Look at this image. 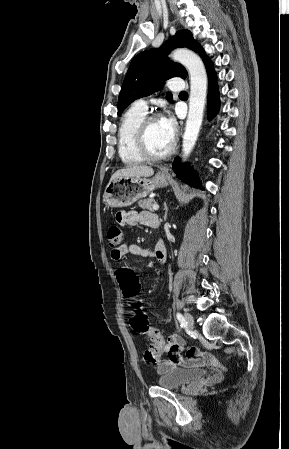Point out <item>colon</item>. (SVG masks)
Instances as JSON below:
<instances>
[{
  "label": "colon",
  "instance_id": "colon-1",
  "mask_svg": "<svg viewBox=\"0 0 289 449\" xmlns=\"http://www.w3.org/2000/svg\"><path fill=\"white\" fill-rule=\"evenodd\" d=\"M123 239L124 234L122 230L116 225L110 226L107 231L109 246L112 249H116L121 246ZM116 279L119 280L122 303L130 307L129 325L135 333L149 336L151 344L145 351V359L151 364H156L159 356L166 351L164 348L165 341L160 331L149 325L147 317L142 310L139 297L140 285L137 275L134 273L133 268H118Z\"/></svg>",
  "mask_w": 289,
  "mask_h": 449
}]
</instances>
